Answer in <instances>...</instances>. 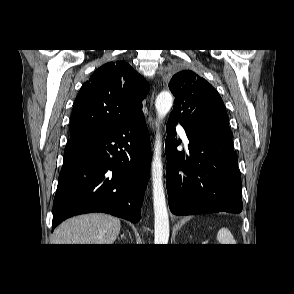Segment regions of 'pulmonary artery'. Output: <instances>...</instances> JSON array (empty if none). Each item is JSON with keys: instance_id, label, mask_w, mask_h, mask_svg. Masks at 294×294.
<instances>
[{"instance_id": "pulmonary-artery-1", "label": "pulmonary artery", "mask_w": 294, "mask_h": 294, "mask_svg": "<svg viewBox=\"0 0 294 294\" xmlns=\"http://www.w3.org/2000/svg\"><path fill=\"white\" fill-rule=\"evenodd\" d=\"M176 130H177L179 136L181 137L183 143L185 145H188L189 144V140H188V137L186 135L185 129L181 125L178 124L176 126Z\"/></svg>"}]
</instances>
